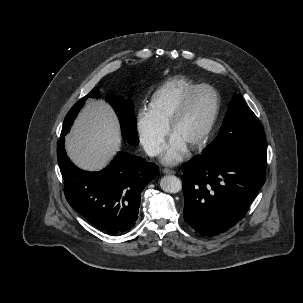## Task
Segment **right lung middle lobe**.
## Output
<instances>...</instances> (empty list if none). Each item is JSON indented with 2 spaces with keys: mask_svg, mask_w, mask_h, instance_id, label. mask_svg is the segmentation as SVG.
Wrapping results in <instances>:
<instances>
[{
  "mask_svg": "<svg viewBox=\"0 0 303 303\" xmlns=\"http://www.w3.org/2000/svg\"><path fill=\"white\" fill-rule=\"evenodd\" d=\"M97 92H98L97 88L93 89L88 95L81 98L70 109L64 120L62 132H61L62 136H65L68 133L74 119L77 116V113L85 103L86 98L95 97ZM108 101L113 106L115 112L117 113L121 125V132L123 138L127 140L129 144L137 145L139 143V140L137 136V129L134 119V110H133L132 102L130 100L117 98L115 96H109Z\"/></svg>",
  "mask_w": 303,
  "mask_h": 303,
  "instance_id": "dd1d6c3e",
  "label": "right lung middle lobe"
}]
</instances>
